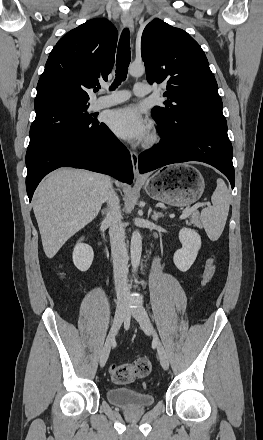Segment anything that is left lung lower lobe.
<instances>
[{"mask_svg": "<svg viewBox=\"0 0 263 440\" xmlns=\"http://www.w3.org/2000/svg\"><path fill=\"white\" fill-rule=\"evenodd\" d=\"M157 122L162 140L155 148L140 154V173L172 163L200 161L220 170L234 188L233 150L225 118L203 120L184 129Z\"/></svg>", "mask_w": 263, "mask_h": 440, "instance_id": "0a47b994", "label": "left lung lower lobe"}]
</instances>
